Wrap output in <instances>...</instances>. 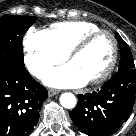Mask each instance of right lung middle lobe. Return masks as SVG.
<instances>
[{"mask_svg": "<svg viewBox=\"0 0 136 136\" xmlns=\"http://www.w3.org/2000/svg\"><path fill=\"white\" fill-rule=\"evenodd\" d=\"M34 21L33 16L0 17V68L24 66L22 38Z\"/></svg>", "mask_w": 136, "mask_h": 136, "instance_id": "dd1d6c3e", "label": "right lung middle lobe"}]
</instances>
